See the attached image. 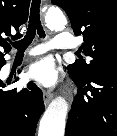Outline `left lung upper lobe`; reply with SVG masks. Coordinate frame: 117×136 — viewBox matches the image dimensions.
<instances>
[{
    "label": "left lung upper lobe",
    "mask_w": 117,
    "mask_h": 136,
    "mask_svg": "<svg viewBox=\"0 0 117 136\" xmlns=\"http://www.w3.org/2000/svg\"><path fill=\"white\" fill-rule=\"evenodd\" d=\"M64 9L76 36L83 35L81 50L92 59L68 65L69 74L86 81L101 69L117 68L116 0H51Z\"/></svg>",
    "instance_id": "left-lung-upper-lobe-1"
}]
</instances>
